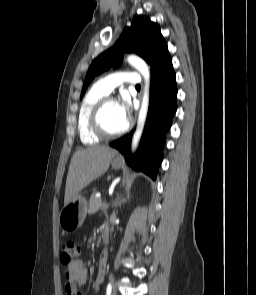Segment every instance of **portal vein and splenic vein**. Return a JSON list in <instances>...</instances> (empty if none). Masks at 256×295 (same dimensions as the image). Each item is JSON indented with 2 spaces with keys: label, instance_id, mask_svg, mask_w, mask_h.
Returning <instances> with one entry per match:
<instances>
[{
  "label": "portal vein and splenic vein",
  "instance_id": "obj_1",
  "mask_svg": "<svg viewBox=\"0 0 256 295\" xmlns=\"http://www.w3.org/2000/svg\"><path fill=\"white\" fill-rule=\"evenodd\" d=\"M105 204H106L105 208H107L108 207V204L107 203H105Z\"/></svg>",
  "mask_w": 256,
  "mask_h": 295
}]
</instances>
